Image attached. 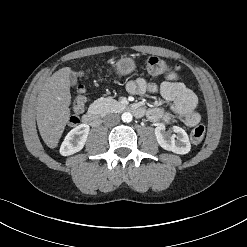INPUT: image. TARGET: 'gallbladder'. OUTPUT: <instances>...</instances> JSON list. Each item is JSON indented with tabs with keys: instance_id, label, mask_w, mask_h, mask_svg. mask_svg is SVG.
<instances>
[{
	"instance_id": "bac80fb5",
	"label": "gallbladder",
	"mask_w": 247,
	"mask_h": 247,
	"mask_svg": "<svg viewBox=\"0 0 247 247\" xmlns=\"http://www.w3.org/2000/svg\"><path fill=\"white\" fill-rule=\"evenodd\" d=\"M81 75H82V73H81ZM69 78H70L71 85L75 86L77 84V75H76V73L72 72L70 74Z\"/></svg>"
}]
</instances>
